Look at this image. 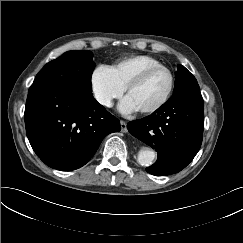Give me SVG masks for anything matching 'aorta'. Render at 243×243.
<instances>
[{"instance_id":"obj_1","label":"aorta","mask_w":243,"mask_h":243,"mask_svg":"<svg viewBox=\"0 0 243 243\" xmlns=\"http://www.w3.org/2000/svg\"><path fill=\"white\" fill-rule=\"evenodd\" d=\"M155 152L150 149H142L138 153L137 162L142 166H150L155 159Z\"/></svg>"}]
</instances>
